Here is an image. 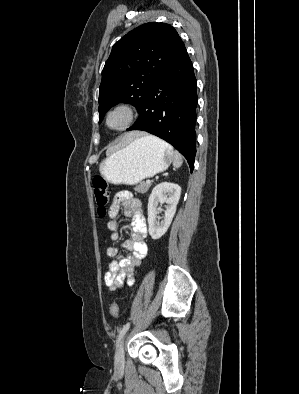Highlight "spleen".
Instances as JSON below:
<instances>
[{
	"instance_id": "1",
	"label": "spleen",
	"mask_w": 299,
	"mask_h": 394,
	"mask_svg": "<svg viewBox=\"0 0 299 394\" xmlns=\"http://www.w3.org/2000/svg\"><path fill=\"white\" fill-rule=\"evenodd\" d=\"M149 138H152L157 143H159V144L163 145L164 147L170 149L171 152H172V155H173V166L175 168L181 167V165L183 163V159H182V156L180 155V153H178L177 151H174L169 144L165 143L164 141H162V140H160V139H158L156 137L149 136Z\"/></svg>"
}]
</instances>
